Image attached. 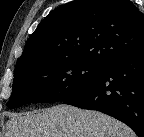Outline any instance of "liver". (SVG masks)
Masks as SVG:
<instances>
[{"label": "liver", "instance_id": "obj_1", "mask_svg": "<svg viewBox=\"0 0 144 137\" xmlns=\"http://www.w3.org/2000/svg\"><path fill=\"white\" fill-rule=\"evenodd\" d=\"M6 137H136L119 120L98 111L56 105L43 111L11 114Z\"/></svg>", "mask_w": 144, "mask_h": 137}]
</instances>
